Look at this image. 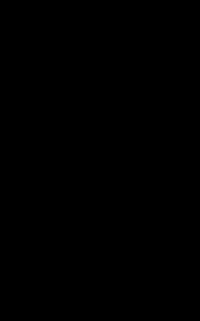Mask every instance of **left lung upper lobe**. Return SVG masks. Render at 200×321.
Masks as SVG:
<instances>
[{"label":"left lung upper lobe","instance_id":"obj_1","mask_svg":"<svg viewBox=\"0 0 200 321\" xmlns=\"http://www.w3.org/2000/svg\"><path fill=\"white\" fill-rule=\"evenodd\" d=\"M104 130L116 135L122 144L125 168L120 177L123 183H131L148 177H160L173 181V164L165 145L147 130L112 121L104 124Z\"/></svg>","mask_w":200,"mask_h":321}]
</instances>
